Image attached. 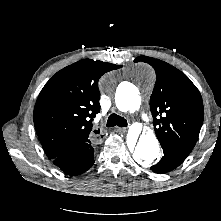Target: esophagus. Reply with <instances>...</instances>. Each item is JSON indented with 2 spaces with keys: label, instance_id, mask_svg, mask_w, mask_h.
Segmentation results:
<instances>
[{
  "label": "esophagus",
  "instance_id": "34e87169",
  "mask_svg": "<svg viewBox=\"0 0 221 221\" xmlns=\"http://www.w3.org/2000/svg\"><path fill=\"white\" fill-rule=\"evenodd\" d=\"M116 129H117L118 131H120V132H126V131H127L126 128H122V127H117Z\"/></svg>",
  "mask_w": 221,
  "mask_h": 221
}]
</instances>
